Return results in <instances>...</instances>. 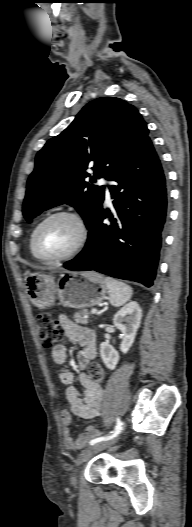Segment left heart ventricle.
<instances>
[{
  "label": "left heart ventricle",
  "mask_w": 192,
  "mask_h": 527,
  "mask_svg": "<svg viewBox=\"0 0 192 527\" xmlns=\"http://www.w3.org/2000/svg\"><path fill=\"white\" fill-rule=\"evenodd\" d=\"M79 229L69 217H56L48 221L38 234V250L44 257H58L68 253L76 244Z\"/></svg>",
  "instance_id": "left-heart-ventricle-1"
}]
</instances>
